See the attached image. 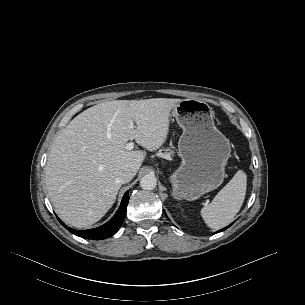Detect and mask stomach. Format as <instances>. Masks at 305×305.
<instances>
[{
    "mask_svg": "<svg viewBox=\"0 0 305 305\" xmlns=\"http://www.w3.org/2000/svg\"><path fill=\"white\" fill-rule=\"evenodd\" d=\"M173 116L183 130L178 143L182 162L169 181L176 199L192 201L222 184L231 146L216 128L206 102L181 100L173 108Z\"/></svg>",
    "mask_w": 305,
    "mask_h": 305,
    "instance_id": "0dacf381",
    "label": "stomach"
}]
</instances>
